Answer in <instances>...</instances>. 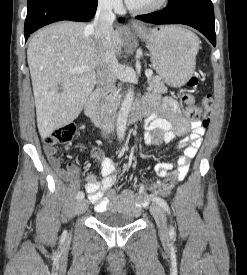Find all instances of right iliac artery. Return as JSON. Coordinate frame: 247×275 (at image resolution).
Returning <instances> with one entry per match:
<instances>
[{
	"label": "right iliac artery",
	"instance_id": "82829eb1",
	"mask_svg": "<svg viewBox=\"0 0 247 275\" xmlns=\"http://www.w3.org/2000/svg\"><path fill=\"white\" fill-rule=\"evenodd\" d=\"M83 198H84V193H83V191H79L78 194H77V199H78V200H81V199H83Z\"/></svg>",
	"mask_w": 247,
	"mask_h": 275
}]
</instances>
